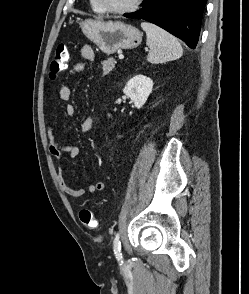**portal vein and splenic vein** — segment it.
Masks as SVG:
<instances>
[{
	"label": "portal vein and splenic vein",
	"mask_w": 249,
	"mask_h": 294,
	"mask_svg": "<svg viewBox=\"0 0 249 294\" xmlns=\"http://www.w3.org/2000/svg\"><path fill=\"white\" fill-rule=\"evenodd\" d=\"M123 58H124V56L120 54L119 55V59H123Z\"/></svg>",
	"instance_id": "portal-vein-and-splenic-vein-1"
}]
</instances>
